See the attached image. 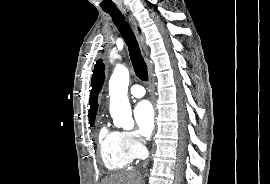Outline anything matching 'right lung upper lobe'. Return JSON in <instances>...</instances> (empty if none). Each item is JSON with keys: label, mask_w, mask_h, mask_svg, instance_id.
Returning <instances> with one entry per match:
<instances>
[{"label": "right lung upper lobe", "mask_w": 270, "mask_h": 184, "mask_svg": "<svg viewBox=\"0 0 270 184\" xmlns=\"http://www.w3.org/2000/svg\"><path fill=\"white\" fill-rule=\"evenodd\" d=\"M104 64L102 60H98L96 62L93 76H92V89L90 93V109H89V121H94L95 116L97 113V108H98V102H97V96L98 93L103 85L105 75H104Z\"/></svg>", "instance_id": "cb5924a9"}]
</instances>
